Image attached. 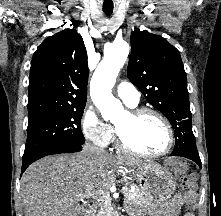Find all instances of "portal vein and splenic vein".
I'll return each instance as SVG.
<instances>
[{"mask_svg":"<svg viewBox=\"0 0 221 216\" xmlns=\"http://www.w3.org/2000/svg\"><path fill=\"white\" fill-rule=\"evenodd\" d=\"M128 191H130L128 187H123L122 188V192L123 193L128 192ZM130 192H133V191H130ZM108 196H109V193L104 191V190H97V191H95V190H88L86 193L79 195L81 200L88 199V198H93V199H95L97 201H103Z\"/></svg>","mask_w":221,"mask_h":216,"instance_id":"1","label":"portal vein and splenic vein"}]
</instances>
